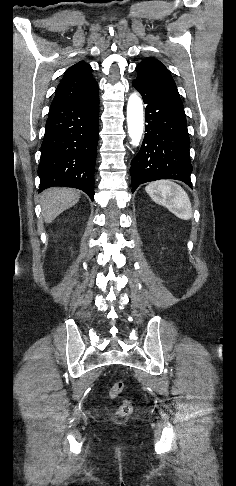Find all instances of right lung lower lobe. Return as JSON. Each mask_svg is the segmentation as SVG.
<instances>
[{
    "instance_id": "obj_1",
    "label": "right lung lower lobe",
    "mask_w": 236,
    "mask_h": 486,
    "mask_svg": "<svg viewBox=\"0 0 236 486\" xmlns=\"http://www.w3.org/2000/svg\"><path fill=\"white\" fill-rule=\"evenodd\" d=\"M99 96L50 107L38 167L40 189L78 188L94 199Z\"/></svg>"
}]
</instances>
